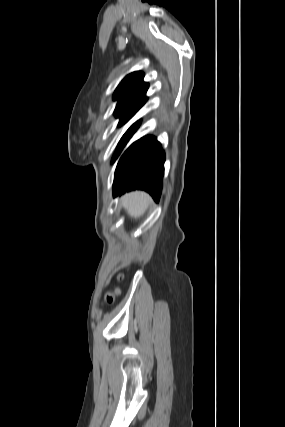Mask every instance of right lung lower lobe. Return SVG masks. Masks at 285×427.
Masks as SVG:
<instances>
[{
    "label": "right lung lower lobe",
    "instance_id": "right-lung-lower-lobe-1",
    "mask_svg": "<svg viewBox=\"0 0 285 427\" xmlns=\"http://www.w3.org/2000/svg\"><path fill=\"white\" fill-rule=\"evenodd\" d=\"M165 154L153 136L133 143L122 155L115 171L113 195L143 189L158 201L162 190Z\"/></svg>",
    "mask_w": 285,
    "mask_h": 427
}]
</instances>
